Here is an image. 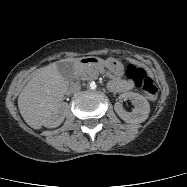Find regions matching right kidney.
<instances>
[{"label": "right kidney", "instance_id": "ca27d5eb", "mask_svg": "<svg viewBox=\"0 0 187 187\" xmlns=\"http://www.w3.org/2000/svg\"><path fill=\"white\" fill-rule=\"evenodd\" d=\"M67 112L68 106L64 103H59L45 120L44 126L48 128L58 127L64 121Z\"/></svg>", "mask_w": 187, "mask_h": 187}]
</instances>
